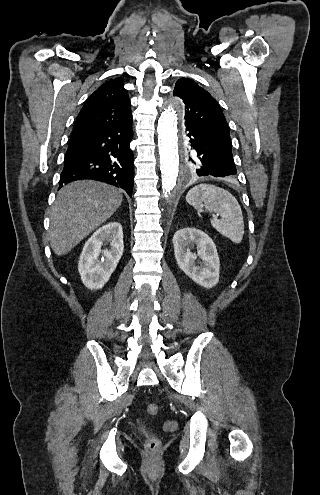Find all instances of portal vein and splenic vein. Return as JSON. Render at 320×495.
<instances>
[{
    "label": "portal vein and splenic vein",
    "instance_id": "1",
    "mask_svg": "<svg viewBox=\"0 0 320 495\" xmlns=\"http://www.w3.org/2000/svg\"><path fill=\"white\" fill-rule=\"evenodd\" d=\"M213 217L217 218V216L213 215Z\"/></svg>",
    "mask_w": 320,
    "mask_h": 495
}]
</instances>
